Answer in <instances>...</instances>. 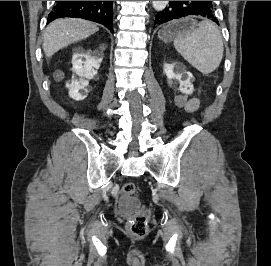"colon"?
<instances>
[{
	"instance_id": "obj_1",
	"label": "colon",
	"mask_w": 271,
	"mask_h": 266,
	"mask_svg": "<svg viewBox=\"0 0 271 266\" xmlns=\"http://www.w3.org/2000/svg\"><path fill=\"white\" fill-rule=\"evenodd\" d=\"M121 193L125 197H134L136 195V187L133 182H127L122 186ZM148 217L144 212H139L134 218L130 219L127 227L132 235L136 237H144L148 232Z\"/></svg>"
}]
</instances>
